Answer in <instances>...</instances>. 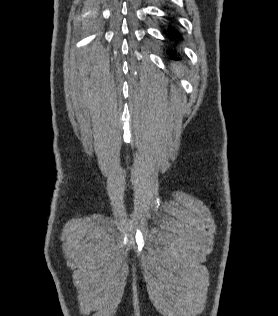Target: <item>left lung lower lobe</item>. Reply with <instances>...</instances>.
<instances>
[{
	"label": "left lung lower lobe",
	"instance_id": "0a47b994",
	"mask_svg": "<svg viewBox=\"0 0 278 316\" xmlns=\"http://www.w3.org/2000/svg\"><path fill=\"white\" fill-rule=\"evenodd\" d=\"M164 33L166 34V37L171 39V40L180 38L179 33L171 27H169L167 30H165ZM172 53L173 52H170V54H172Z\"/></svg>",
	"mask_w": 278,
	"mask_h": 316
}]
</instances>
